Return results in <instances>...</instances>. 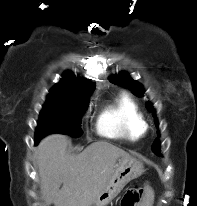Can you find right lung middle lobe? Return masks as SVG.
Wrapping results in <instances>:
<instances>
[{"mask_svg":"<svg viewBox=\"0 0 197 206\" xmlns=\"http://www.w3.org/2000/svg\"><path fill=\"white\" fill-rule=\"evenodd\" d=\"M90 95L81 97L71 94H49L40 113L35 143L52 133L80 136L82 134L81 119L89 103Z\"/></svg>","mask_w":197,"mask_h":206,"instance_id":"1","label":"right lung middle lobe"}]
</instances>
